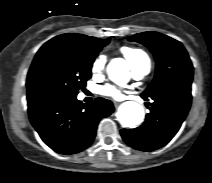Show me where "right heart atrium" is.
<instances>
[{
	"label": "right heart atrium",
	"instance_id": "obj_1",
	"mask_svg": "<svg viewBox=\"0 0 212 183\" xmlns=\"http://www.w3.org/2000/svg\"><path fill=\"white\" fill-rule=\"evenodd\" d=\"M105 64H106L105 55L102 54L96 57V59L94 60L91 66V73L93 74V76L101 75L104 71Z\"/></svg>",
	"mask_w": 212,
	"mask_h": 183
}]
</instances>
